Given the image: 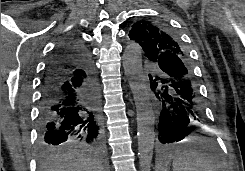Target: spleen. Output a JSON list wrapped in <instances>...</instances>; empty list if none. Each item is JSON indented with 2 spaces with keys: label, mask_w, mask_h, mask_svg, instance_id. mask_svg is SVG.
I'll list each match as a JSON object with an SVG mask.
<instances>
[{
  "label": "spleen",
  "mask_w": 245,
  "mask_h": 171,
  "mask_svg": "<svg viewBox=\"0 0 245 171\" xmlns=\"http://www.w3.org/2000/svg\"><path fill=\"white\" fill-rule=\"evenodd\" d=\"M173 171H217V169L208 156L190 151L173 160Z\"/></svg>",
  "instance_id": "spleen-1"
}]
</instances>
